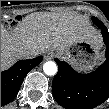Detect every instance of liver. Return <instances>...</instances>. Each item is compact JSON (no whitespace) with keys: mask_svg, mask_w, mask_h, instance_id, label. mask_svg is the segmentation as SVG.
Instances as JSON below:
<instances>
[{"mask_svg":"<svg viewBox=\"0 0 109 109\" xmlns=\"http://www.w3.org/2000/svg\"><path fill=\"white\" fill-rule=\"evenodd\" d=\"M87 40L102 46V36L87 20L74 12H35L12 30L1 28V69L17 60L19 49H32L37 55L54 49L63 52L73 42Z\"/></svg>","mask_w":109,"mask_h":109,"instance_id":"6515ba94","label":"liver"}]
</instances>
